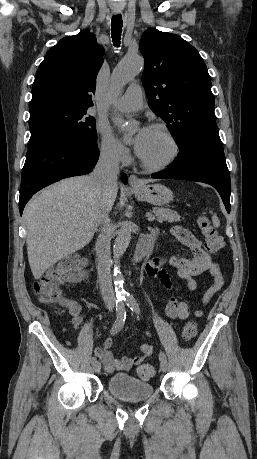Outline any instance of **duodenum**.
<instances>
[{
	"instance_id": "410a0bca",
	"label": "duodenum",
	"mask_w": 257,
	"mask_h": 459,
	"mask_svg": "<svg viewBox=\"0 0 257 459\" xmlns=\"http://www.w3.org/2000/svg\"><path fill=\"white\" fill-rule=\"evenodd\" d=\"M156 236L157 232H150L138 241L133 255L134 262L141 261L149 254V252L152 249L153 243L156 240Z\"/></svg>"
}]
</instances>
